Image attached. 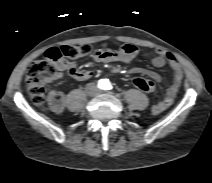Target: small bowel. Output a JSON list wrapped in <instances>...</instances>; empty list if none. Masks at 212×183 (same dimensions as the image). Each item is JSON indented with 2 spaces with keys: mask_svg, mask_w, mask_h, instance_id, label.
Segmentation results:
<instances>
[{
  "mask_svg": "<svg viewBox=\"0 0 212 183\" xmlns=\"http://www.w3.org/2000/svg\"><path fill=\"white\" fill-rule=\"evenodd\" d=\"M137 53L138 50L135 46L125 44L118 50L98 51L95 54V59L102 62L119 61L128 63L136 57ZM151 64L154 68H161L168 64L173 70V82L167 89L165 97L152 106V112L154 114H160L172 105L183 79V70L177 58L172 53L163 49L156 50V56L151 60ZM57 71L54 80H60L63 76V72L69 73L78 81L87 80L92 76L91 71L78 69L74 63L68 61L61 62L57 67ZM136 72L147 77L153 84L154 82H161L163 80L162 75L155 71L138 69ZM48 101L50 108L54 112L59 113L64 109L65 100L61 92L51 91L48 96Z\"/></svg>",
  "mask_w": 212,
  "mask_h": 183,
  "instance_id": "1",
  "label": "small bowel"
}]
</instances>
